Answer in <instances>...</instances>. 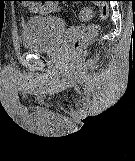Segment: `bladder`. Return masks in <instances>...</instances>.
Segmentation results:
<instances>
[{
    "instance_id": "1",
    "label": "bladder",
    "mask_w": 135,
    "mask_h": 161,
    "mask_svg": "<svg viewBox=\"0 0 135 161\" xmlns=\"http://www.w3.org/2000/svg\"><path fill=\"white\" fill-rule=\"evenodd\" d=\"M65 30V22L60 17H31L26 21L22 31L23 46L33 52L51 49Z\"/></svg>"
}]
</instances>
